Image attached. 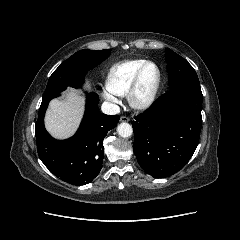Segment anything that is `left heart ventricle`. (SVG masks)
<instances>
[{"mask_svg": "<svg viewBox=\"0 0 240 240\" xmlns=\"http://www.w3.org/2000/svg\"><path fill=\"white\" fill-rule=\"evenodd\" d=\"M156 78V69L149 66L145 69L141 81V93H146L153 85Z\"/></svg>", "mask_w": 240, "mask_h": 240, "instance_id": "1", "label": "left heart ventricle"}]
</instances>
